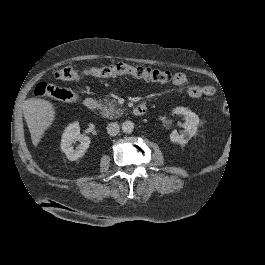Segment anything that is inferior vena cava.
Listing matches in <instances>:
<instances>
[{"instance_id":"inferior-vena-cava-1","label":"inferior vena cava","mask_w":265,"mask_h":265,"mask_svg":"<svg viewBox=\"0 0 265 265\" xmlns=\"http://www.w3.org/2000/svg\"><path fill=\"white\" fill-rule=\"evenodd\" d=\"M107 132L110 136H115L119 132V125L116 122H111L107 126Z\"/></svg>"}]
</instances>
